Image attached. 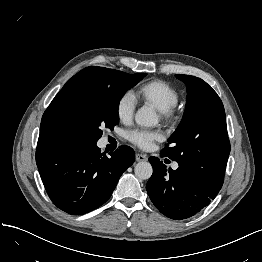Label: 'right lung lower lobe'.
<instances>
[{"label": "right lung lower lobe", "instance_id": "1", "mask_svg": "<svg viewBox=\"0 0 262 262\" xmlns=\"http://www.w3.org/2000/svg\"><path fill=\"white\" fill-rule=\"evenodd\" d=\"M109 155L101 153L96 143L64 135H39L36 163L52 202L73 215L88 213L105 203L135 160L128 146H120Z\"/></svg>", "mask_w": 262, "mask_h": 262}]
</instances>
